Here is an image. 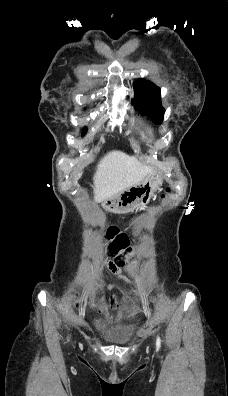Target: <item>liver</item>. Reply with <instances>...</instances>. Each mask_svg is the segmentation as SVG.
Wrapping results in <instances>:
<instances>
[{
  "label": "liver",
  "instance_id": "6515ba94",
  "mask_svg": "<svg viewBox=\"0 0 228 396\" xmlns=\"http://www.w3.org/2000/svg\"><path fill=\"white\" fill-rule=\"evenodd\" d=\"M155 173L151 166L141 164L134 156L121 151L109 152L98 164L94 175L95 200H103L142 182ZM81 173L75 175V183Z\"/></svg>",
  "mask_w": 228,
  "mask_h": 396
}]
</instances>
